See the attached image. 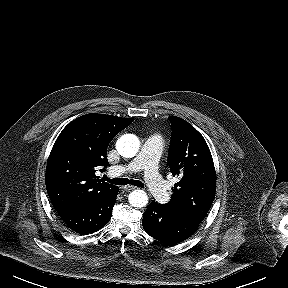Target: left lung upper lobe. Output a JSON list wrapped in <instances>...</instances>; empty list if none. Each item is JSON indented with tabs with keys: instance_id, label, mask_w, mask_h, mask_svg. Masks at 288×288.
<instances>
[{
	"instance_id": "obj_1",
	"label": "left lung upper lobe",
	"mask_w": 288,
	"mask_h": 288,
	"mask_svg": "<svg viewBox=\"0 0 288 288\" xmlns=\"http://www.w3.org/2000/svg\"><path fill=\"white\" fill-rule=\"evenodd\" d=\"M172 137L168 165L175 184L165 206L196 222L207 215L216 192V173L209 147L203 136L187 121L171 116Z\"/></svg>"
}]
</instances>
